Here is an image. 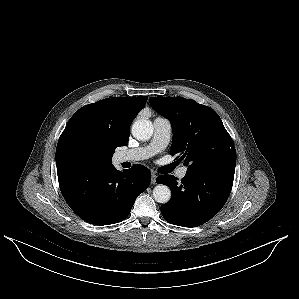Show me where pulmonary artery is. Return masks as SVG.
Wrapping results in <instances>:
<instances>
[{
  "label": "pulmonary artery",
  "instance_id": "pulmonary-artery-1",
  "mask_svg": "<svg viewBox=\"0 0 299 299\" xmlns=\"http://www.w3.org/2000/svg\"><path fill=\"white\" fill-rule=\"evenodd\" d=\"M154 133L148 145L126 150L118 155L120 162H135L148 159L166 148L170 141L172 126L168 119L158 116L153 121ZM187 168L181 167L177 171L179 178H184Z\"/></svg>",
  "mask_w": 299,
  "mask_h": 299
}]
</instances>
